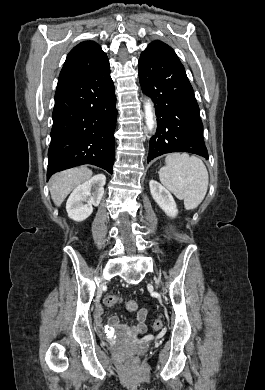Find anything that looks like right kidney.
<instances>
[{"instance_id":"ca27d5eb","label":"right kidney","mask_w":265,"mask_h":390,"mask_svg":"<svg viewBox=\"0 0 265 390\" xmlns=\"http://www.w3.org/2000/svg\"><path fill=\"white\" fill-rule=\"evenodd\" d=\"M105 183V175L98 174L77 186L66 203L68 217L78 222L88 218L93 212V206L100 204ZM91 190H93L92 193Z\"/></svg>"}]
</instances>
